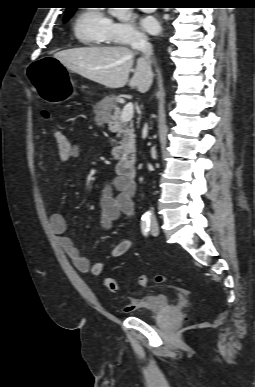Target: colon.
I'll return each instance as SVG.
<instances>
[{"mask_svg":"<svg viewBox=\"0 0 255 387\" xmlns=\"http://www.w3.org/2000/svg\"><path fill=\"white\" fill-rule=\"evenodd\" d=\"M42 118L49 122L51 119L50 113L47 110L41 111ZM54 140L57 146V151L59 155L67 154L71 149V141L60 131L54 130L53 132ZM150 276L148 275H139L137 278V283L139 286H146L149 283ZM154 281L158 284H162L168 281V278L163 275H157L154 277ZM176 282L183 283L184 279L176 278ZM104 286L106 289L112 293H116L119 290V285L116 279L112 277H107L104 279Z\"/></svg>","mask_w":255,"mask_h":387,"instance_id":"1","label":"colon"}]
</instances>
